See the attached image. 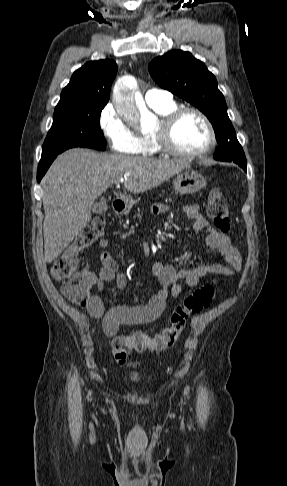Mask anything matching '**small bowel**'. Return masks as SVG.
Wrapping results in <instances>:
<instances>
[{"instance_id": "c3829d8e", "label": "small bowel", "mask_w": 287, "mask_h": 486, "mask_svg": "<svg viewBox=\"0 0 287 486\" xmlns=\"http://www.w3.org/2000/svg\"><path fill=\"white\" fill-rule=\"evenodd\" d=\"M152 212L158 216L164 215L167 206L161 203L154 204ZM184 212L187 218L193 221L195 232L206 233L207 246L217 254L209 261L191 268H176L161 261L155 262L152 271L158 279L159 289L146 303L133 301L130 305L105 309L102 298L105 285L115 282L117 287L124 288L127 284V276L107 250L109 241L107 239L99 241V246L103 249L100 254L102 266L94 276L96 292L90 295L86 309L92 317L102 319L103 329L108 337H114L121 326L149 324L157 320L165 310L167 298L169 296L177 298L184 285L196 286L201 278L208 274L228 276L240 270L241 256L232 245L230 238L213 230L197 205L186 206Z\"/></svg>"}]
</instances>
